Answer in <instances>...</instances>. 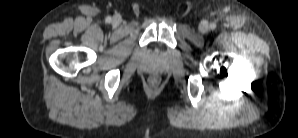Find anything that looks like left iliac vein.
<instances>
[{
    "instance_id": "obj_1",
    "label": "left iliac vein",
    "mask_w": 298,
    "mask_h": 138,
    "mask_svg": "<svg viewBox=\"0 0 298 138\" xmlns=\"http://www.w3.org/2000/svg\"><path fill=\"white\" fill-rule=\"evenodd\" d=\"M199 30L202 33H206L209 30V25L207 21H202L199 25Z\"/></svg>"
}]
</instances>
